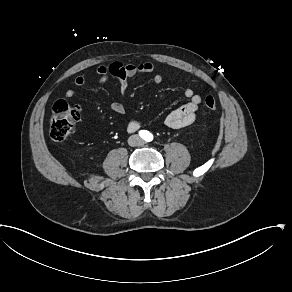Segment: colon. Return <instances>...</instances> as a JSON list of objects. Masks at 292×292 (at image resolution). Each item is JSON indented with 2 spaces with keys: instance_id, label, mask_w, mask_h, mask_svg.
Instances as JSON below:
<instances>
[{
  "instance_id": "1",
  "label": "colon",
  "mask_w": 292,
  "mask_h": 292,
  "mask_svg": "<svg viewBox=\"0 0 292 292\" xmlns=\"http://www.w3.org/2000/svg\"><path fill=\"white\" fill-rule=\"evenodd\" d=\"M204 107L209 111H215L218 107L217 101L213 96L204 99ZM82 115V108L64 99L57 100L52 107L50 136L55 142H62L71 133Z\"/></svg>"
}]
</instances>
